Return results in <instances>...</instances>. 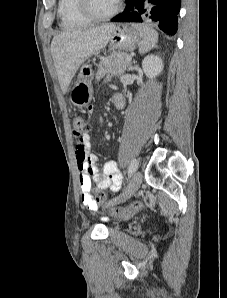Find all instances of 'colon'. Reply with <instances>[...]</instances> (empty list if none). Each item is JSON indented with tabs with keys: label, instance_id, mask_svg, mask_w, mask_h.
<instances>
[{
	"label": "colon",
	"instance_id": "5ec220e1",
	"mask_svg": "<svg viewBox=\"0 0 227 298\" xmlns=\"http://www.w3.org/2000/svg\"><path fill=\"white\" fill-rule=\"evenodd\" d=\"M73 134L77 140L76 150L83 152L85 148V138L90 130V124L86 117L82 115H74L72 117ZM107 200L105 193L102 191L96 192V202L103 204ZM144 207V202H131L132 208H117L114 210L113 218H131V213H138L139 209L136 207Z\"/></svg>",
	"mask_w": 227,
	"mask_h": 298
}]
</instances>
